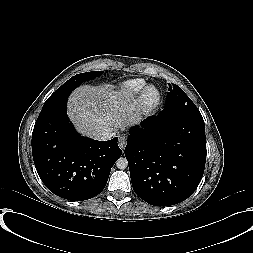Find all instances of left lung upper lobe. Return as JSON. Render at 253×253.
Returning <instances> with one entry per match:
<instances>
[{"instance_id": "obj_1", "label": "left lung upper lobe", "mask_w": 253, "mask_h": 253, "mask_svg": "<svg viewBox=\"0 0 253 253\" xmlns=\"http://www.w3.org/2000/svg\"><path fill=\"white\" fill-rule=\"evenodd\" d=\"M166 98V107L170 109H178L184 111H198V108L184 91L176 84L170 85Z\"/></svg>"}]
</instances>
